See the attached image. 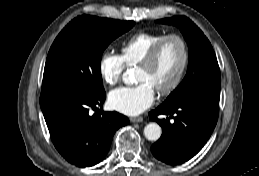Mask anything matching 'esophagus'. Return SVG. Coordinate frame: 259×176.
I'll return each mask as SVG.
<instances>
[{
    "label": "esophagus",
    "mask_w": 259,
    "mask_h": 176,
    "mask_svg": "<svg viewBox=\"0 0 259 176\" xmlns=\"http://www.w3.org/2000/svg\"><path fill=\"white\" fill-rule=\"evenodd\" d=\"M130 121L132 123H141V122H143V118L142 117H132V118H130Z\"/></svg>",
    "instance_id": "esophagus-1"
}]
</instances>
